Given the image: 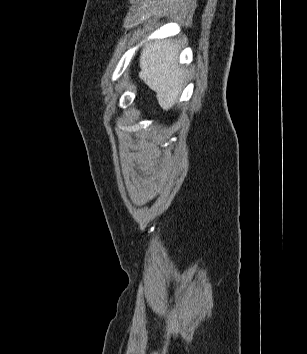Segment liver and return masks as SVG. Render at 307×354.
Here are the masks:
<instances>
[{
  "mask_svg": "<svg viewBox=\"0 0 307 354\" xmlns=\"http://www.w3.org/2000/svg\"><path fill=\"white\" fill-rule=\"evenodd\" d=\"M179 43L161 40L146 44L140 55L139 77L157 93L164 110H169L183 89L185 71L178 65Z\"/></svg>",
  "mask_w": 307,
  "mask_h": 354,
  "instance_id": "1",
  "label": "liver"
}]
</instances>
